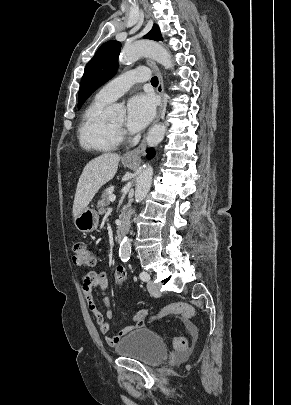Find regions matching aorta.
<instances>
[{"instance_id":"aorta-1","label":"aorta","mask_w":291,"mask_h":405,"mask_svg":"<svg viewBox=\"0 0 291 405\" xmlns=\"http://www.w3.org/2000/svg\"><path fill=\"white\" fill-rule=\"evenodd\" d=\"M141 56H148L154 59L166 69L173 68V62L170 53L158 42L151 40H139L125 46L119 56L121 64H130L137 61ZM124 113L118 105H112L108 108V115L111 118L120 116ZM166 127L162 124H156L150 128L147 135V144L149 147L157 146L165 136ZM153 176V168L150 165L144 167L139 175L135 188V201L140 203L148 194ZM131 254V241L124 237L120 243L119 257L121 260L129 259Z\"/></svg>"}]
</instances>
